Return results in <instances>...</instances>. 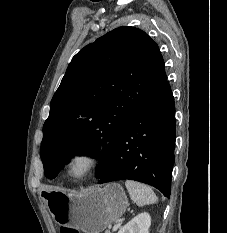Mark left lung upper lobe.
<instances>
[{
  "instance_id": "5c2ea615",
  "label": "left lung upper lobe",
  "mask_w": 227,
  "mask_h": 233,
  "mask_svg": "<svg viewBox=\"0 0 227 233\" xmlns=\"http://www.w3.org/2000/svg\"><path fill=\"white\" fill-rule=\"evenodd\" d=\"M167 82L158 45L143 31L119 27L81 49L55 92L44 123L41 159L55 178L75 155L97 157L100 178L133 115Z\"/></svg>"
}]
</instances>
